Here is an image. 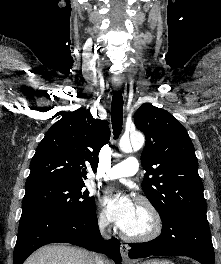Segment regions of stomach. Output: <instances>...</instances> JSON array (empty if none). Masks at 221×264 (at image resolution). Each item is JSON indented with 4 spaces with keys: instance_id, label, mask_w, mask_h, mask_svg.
Returning a JSON list of instances; mask_svg holds the SVG:
<instances>
[{
    "instance_id": "stomach-1",
    "label": "stomach",
    "mask_w": 221,
    "mask_h": 264,
    "mask_svg": "<svg viewBox=\"0 0 221 264\" xmlns=\"http://www.w3.org/2000/svg\"><path fill=\"white\" fill-rule=\"evenodd\" d=\"M140 264H174V263L169 260H164V259H152V260L142 262Z\"/></svg>"
}]
</instances>
